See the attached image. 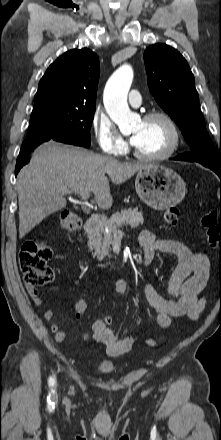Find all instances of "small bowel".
Masks as SVG:
<instances>
[{
  "mask_svg": "<svg viewBox=\"0 0 221 440\" xmlns=\"http://www.w3.org/2000/svg\"><path fill=\"white\" fill-rule=\"evenodd\" d=\"M139 243L144 250L145 262H150L156 253L172 254L178 259V266L172 272L168 282L169 297L160 295L150 284L140 285L141 294L153 309L155 324L161 329H168L173 317L187 316L192 321L198 320L206 305V300L199 297V294L209 279L208 257L204 253L191 251L179 241L156 239L148 230L141 231ZM115 288L117 293L123 295L128 293L130 284L125 279H119ZM26 290L35 306L43 305V300L36 288L26 284ZM43 318L46 321L51 320L53 312L44 311ZM92 328L94 341L103 343L106 352L111 356H119L128 352L141 340L138 332L119 337L107 324H104L103 318L97 319ZM51 331L57 342L62 343L66 340V332L60 329L57 323L51 325ZM145 342L153 345L152 339H145Z\"/></svg>",
  "mask_w": 221,
  "mask_h": 440,
  "instance_id": "obj_1",
  "label": "small bowel"
}]
</instances>
